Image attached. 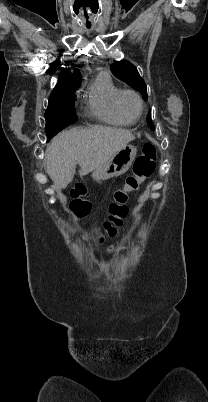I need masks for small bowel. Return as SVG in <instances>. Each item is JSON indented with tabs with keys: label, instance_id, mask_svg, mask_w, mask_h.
I'll return each mask as SVG.
<instances>
[{
	"label": "small bowel",
	"instance_id": "c3829d8e",
	"mask_svg": "<svg viewBox=\"0 0 208 402\" xmlns=\"http://www.w3.org/2000/svg\"><path fill=\"white\" fill-rule=\"evenodd\" d=\"M107 252L108 253H116L117 252V249L116 248H108L107 249ZM110 256V255H109Z\"/></svg>",
	"mask_w": 208,
	"mask_h": 402
}]
</instances>
